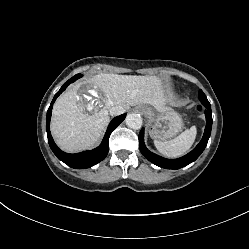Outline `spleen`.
I'll return each instance as SVG.
<instances>
[{"label": "spleen", "instance_id": "3e777b00", "mask_svg": "<svg viewBox=\"0 0 249 249\" xmlns=\"http://www.w3.org/2000/svg\"><path fill=\"white\" fill-rule=\"evenodd\" d=\"M197 134V129L192 126L185 130L178 137L170 141L155 140L154 144L159 153L168 158H177L184 155L193 145Z\"/></svg>", "mask_w": 249, "mask_h": 249}]
</instances>
